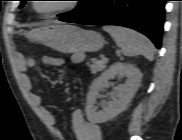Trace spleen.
Here are the masks:
<instances>
[{"label": "spleen", "instance_id": "3e777b00", "mask_svg": "<svg viewBox=\"0 0 182 140\" xmlns=\"http://www.w3.org/2000/svg\"><path fill=\"white\" fill-rule=\"evenodd\" d=\"M125 56L143 55L149 61L154 59V47L144 35L121 26H104Z\"/></svg>", "mask_w": 182, "mask_h": 140}]
</instances>
